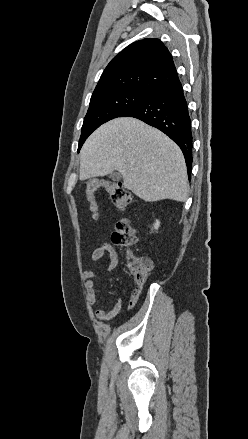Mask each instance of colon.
I'll list each match as a JSON object with an SVG mask.
<instances>
[{
	"label": "colon",
	"mask_w": 248,
	"mask_h": 439,
	"mask_svg": "<svg viewBox=\"0 0 248 439\" xmlns=\"http://www.w3.org/2000/svg\"><path fill=\"white\" fill-rule=\"evenodd\" d=\"M100 189H104L114 205L120 209H125L132 203L130 192L121 182L98 178L91 179L87 182L86 200L88 210L95 220L99 217V207L95 199V193ZM136 241L137 238L130 221L127 219L119 220L112 234V242L119 246H131ZM128 267L134 276L136 285L142 286L152 269V262L146 257L130 255L128 257Z\"/></svg>",
	"instance_id": "5ec220e1"
}]
</instances>
